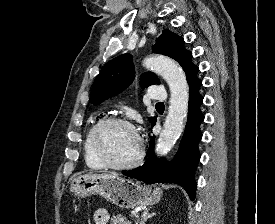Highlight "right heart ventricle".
I'll use <instances>...</instances> for the list:
<instances>
[{"label":"right heart ventricle","mask_w":275,"mask_h":224,"mask_svg":"<svg viewBox=\"0 0 275 224\" xmlns=\"http://www.w3.org/2000/svg\"><path fill=\"white\" fill-rule=\"evenodd\" d=\"M101 118H97L92 121L85 133L84 141H83V154H84V161L86 166L91 170H101L104 169V164L96 157L93 152L91 146V135L95 128V126L101 121Z\"/></svg>","instance_id":"obj_1"}]
</instances>
